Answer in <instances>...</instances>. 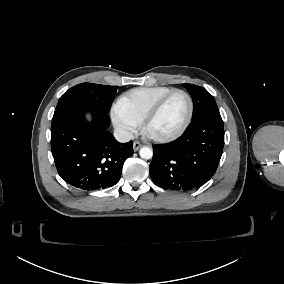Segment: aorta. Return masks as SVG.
<instances>
[{"mask_svg": "<svg viewBox=\"0 0 284 284\" xmlns=\"http://www.w3.org/2000/svg\"><path fill=\"white\" fill-rule=\"evenodd\" d=\"M139 155L143 159H151L153 157V151L149 147H142L139 151Z\"/></svg>", "mask_w": 284, "mask_h": 284, "instance_id": "obj_1", "label": "aorta"}]
</instances>
